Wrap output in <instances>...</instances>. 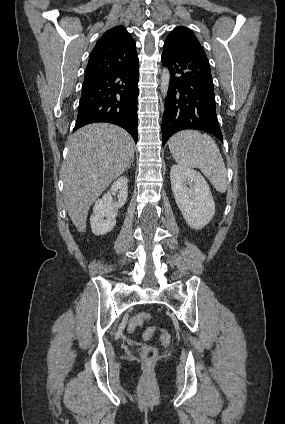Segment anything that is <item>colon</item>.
Segmentation results:
<instances>
[{
    "label": "colon",
    "mask_w": 285,
    "mask_h": 424,
    "mask_svg": "<svg viewBox=\"0 0 285 424\" xmlns=\"http://www.w3.org/2000/svg\"><path fill=\"white\" fill-rule=\"evenodd\" d=\"M149 318H150V315L147 312H140L134 315L129 321V324L127 327L128 331L134 332L139 326H141ZM155 332H156V329L154 327H150L146 329L145 332L143 333V338L150 339ZM161 341L164 344H169L171 342V335L168 332L163 331L161 333ZM156 355H157L156 349L152 346H145L141 354L142 358L145 361H153L156 358Z\"/></svg>",
    "instance_id": "5ec220e1"
}]
</instances>
